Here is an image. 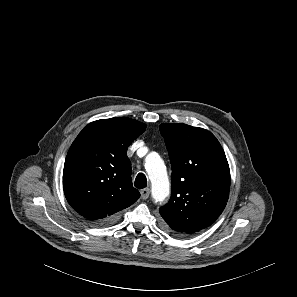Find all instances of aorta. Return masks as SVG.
<instances>
[{"label":"aorta","mask_w":297,"mask_h":297,"mask_svg":"<svg viewBox=\"0 0 297 297\" xmlns=\"http://www.w3.org/2000/svg\"><path fill=\"white\" fill-rule=\"evenodd\" d=\"M145 169L151 182L152 197L162 202L169 195L170 183L163 160L157 154H150L145 160Z\"/></svg>","instance_id":"obj_1"}]
</instances>
